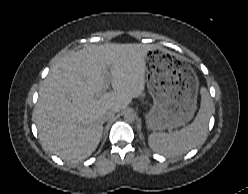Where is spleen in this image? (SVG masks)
<instances>
[{"instance_id": "obj_1", "label": "spleen", "mask_w": 248, "mask_h": 194, "mask_svg": "<svg viewBox=\"0 0 248 194\" xmlns=\"http://www.w3.org/2000/svg\"><path fill=\"white\" fill-rule=\"evenodd\" d=\"M201 105L194 121L171 134L152 133L149 135V147L166 156H179L198 146L205 140L208 122L214 109L213 101L205 87L200 90Z\"/></svg>"}]
</instances>
